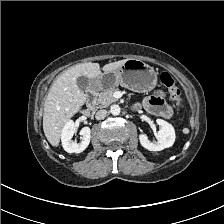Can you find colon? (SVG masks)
<instances>
[{
	"label": "colon",
	"instance_id": "colon-1",
	"mask_svg": "<svg viewBox=\"0 0 224 224\" xmlns=\"http://www.w3.org/2000/svg\"><path fill=\"white\" fill-rule=\"evenodd\" d=\"M161 83L168 89L170 97L179 105L182 103L181 91L177 86L175 79L168 72H163L160 76Z\"/></svg>",
	"mask_w": 224,
	"mask_h": 224
}]
</instances>
